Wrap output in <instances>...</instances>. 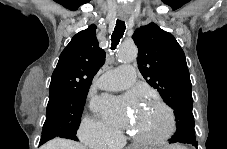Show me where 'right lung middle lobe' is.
<instances>
[{
	"label": "right lung middle lobe",
	"mask_w": 227,
	"mask_h": 149,
	"mask_svg": "<svg viewBox=\"0 0 227 149\" xmlns=\"http://www.w3.org/2000/svg\"><path fill=\"white\" fill-rule=\"evenodd\" d=\"M87 93V91L49 93L42 136L45 134L75 135Z\"/></svg>",
	"instance_id": "obj_1"
}]
</instances>
